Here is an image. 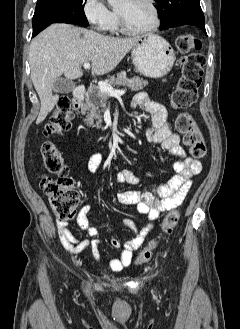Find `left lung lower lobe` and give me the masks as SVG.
I'll return each mask as SVG.
<instances>
[{
  "label": "left lung lower lobe",
  "mask_w": 240,
  "mask_h": 329,
  "mask_svg": "<svg viewBox=\"0 0 240 329\" xmlns=\"http://www.w3.org/2000/svg\"><path fill=\"white\" fill-rule=\"evenodd\" d=\"M187 24H193V25L198 26V27L201 28V29L205 32V34H206L205 23H201V22L184 21V22H178V23H175V24L171 25L170 27H177V26H182V25H187ZM170 27H169V28H170Z\"/></svg>",
  "instance_id": "left-lung-lower-lobe-1"
}]
</instances>
